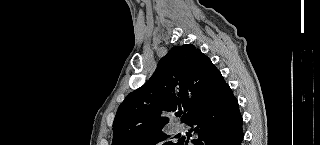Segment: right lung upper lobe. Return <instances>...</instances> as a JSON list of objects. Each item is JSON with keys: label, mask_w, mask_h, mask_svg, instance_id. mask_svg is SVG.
<instances>
[{"label": "right lung upper lobe", "mask_w": 320, "mask_h": 145, "mask_svg": "<svg viewBox=\"0 0 320 145\" xmlns=\"http://www.w3.org/2000/svg\"><path fill=\"white\" fill-rule=\"evenodd\" d=\"M222 76L210 59L192 44L173 47L152 77L120 105L113 124L112 145H132L169 122L166 112L184 108L181 120L203 111Z\"/></svg>", "instance_id": "cb5924a9"}]
</instances>
